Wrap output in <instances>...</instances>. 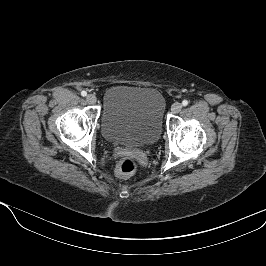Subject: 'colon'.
<instances>
[{
	"label": "colon",
	"instance_id": "5ec220e1",
	"mask_svg": "<svg viewBox=\"0 0 266 266\" xmlns=\"http://www.w3.org/2000/svg\"><path fill=\"white\" fill-rule=\"evenodd\" d=\"M137 169V161L133 156H125L116 165L115 173L119 178L133 175Z\"/></svg>",
	"mask_w": 266,
	"mask_h": 266
}]
</instances>
